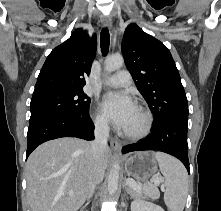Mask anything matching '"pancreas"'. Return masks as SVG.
Listing matches in <instances>:
<instances>
[{
  "instance_id": "cf45deb5",
  "label": "pancreas",
  "mask_w": 221,
  "mask_h": 211,
  "mask_svg": "<svg viewBox=\"0 0 221 211\" xmlns=\"http://www.w3.org/2000/svg\"><path fill=\"white\" fill-rule=\"evenodd\" d=\"M129 190H130V194L132 197L137 198L140 196V191H137L136 189L132 187Z\"/></svg>"
}]
</instances>
